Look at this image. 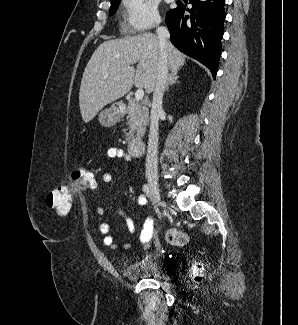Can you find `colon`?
<instances>
[{
  "label": "colon",
  "mask_w": 298,
  "mask_h": 325,
  "mask_svg": "<svg viewBox=\"0 0 298 325\" xmlns=\"http://www.w3.org/2000/svg\"><path fill=\"white\" fill-rule=\"evenodd\" d=\"M97 185L96 177L91 169L79 164L72 172V184L70 186H59L50 191L45 197V205L47 208L53 209L59 215L67 214L71 209L72 197L74 191L89 190L95 188ZM168 243L176 246L185 245L189 238L183 232L169 228L165 234ZM150 241L143 243L145 247L150 245ZM194 278L196 281L201 280L202 270L197 268L194 271Z\"/></svg>",
  "instance_id": "obj_1"
}]
</instances>
